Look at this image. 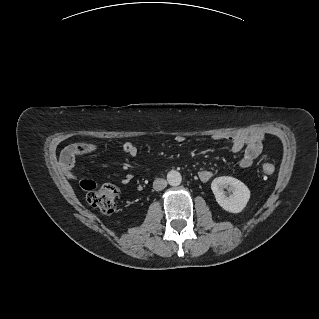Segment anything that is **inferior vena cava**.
Here are the masks:
<instances>
[{
    "mask_svg": "<svg viewBox=\"0 0 319 319\" xmlns=\"http://www.w3.org/2000/svg\"><path fill=\"white\" fill-rule=\"evenodd\" d=\"M167 186V181L162 178H157L153 183V188L156 191H161Z\"/></svg>",
    "mask_w": 319,
    "mask_h": 319,
    "instance_id": "602c4592",
    "label": "inferior vena cava"
}]
</instances>
